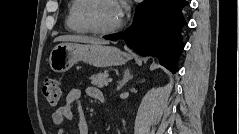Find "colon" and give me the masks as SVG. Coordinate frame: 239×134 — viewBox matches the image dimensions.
<instances>
[{"label": "colon", "mask_w": 239, "mask_h": 134, "mask_svg": "<svg viewBox=\"0 0 239 134\" xmlns=\"http://www.w3.org/2000/svg\"><path fill=\"white\" fill-rule=\"evenodd\" d=\"M43 94L50 105H57L60 101V85L55 79H48L43 85Z\"/></svg>", "instance_id": "colon-1"}]
</instances>
